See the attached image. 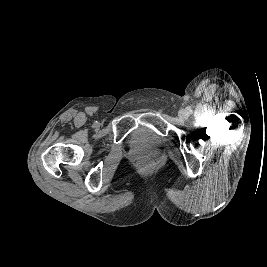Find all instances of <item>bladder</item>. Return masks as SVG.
Returning <instances> with one entry per match:
<instances>
[{
	"label": "bladder",
	"mask_w": 267,
	"mask_h": 267,
	"mask_svg": "<svg viewBox=\"0 0 267 267\" xmlns=\"http://www.w3.org/2000/svg\"><path fill=\"white\" fill-rule=\"evenodd\" d=\"M140 139L138 133H135L133 136H132V140L135 141V140H138Z\"/></svg>",
	"instance_id": "31cf9c89"
}]
</instances>
